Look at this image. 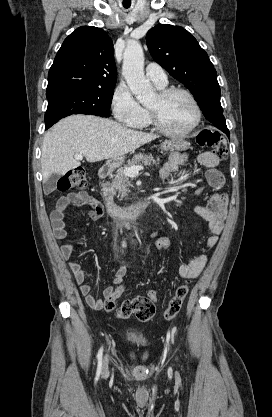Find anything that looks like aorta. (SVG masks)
I'll return each instance as SVG.
<instances>
[{"mask_svg": "<svg viewBox=\"0 0 272 417\" xmlns=\"http://www.w3.org/2000/svg\"><path fill=\"white\" fill-rule=\"evenodd\" d=\"M122 74L136 98L148 105L155 98L154 89L144 74V53L138 41H129L123 54Z\"/></svg>", "mask_w": 272, "mask_h": 417, "instance_id": "1", "label": "aorta"}]
</instances>
